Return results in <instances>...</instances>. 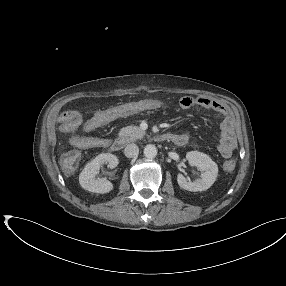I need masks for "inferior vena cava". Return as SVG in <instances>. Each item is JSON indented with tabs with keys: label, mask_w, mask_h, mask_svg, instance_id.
<instances>
[{
	"label": "inferior vena cava",
	"mask_w": 286,
	"mask_h": 286,
	"mask_svg": "<svg viewBox=\"0 0 286 286\" xmlns=\"http://www.w3.org/2000/svg\"><path fill=\"white\" fill-rule=\"evenodd\" d=\"M124 154L128 158H134L139 154V148L136 144H128L124 149Z\"/></svg>",
	"instance_id": "1"
}]
</instances>
